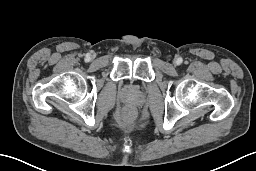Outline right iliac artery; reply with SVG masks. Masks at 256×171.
I'll return each instance as SVG.
<instances>
[{"label": "right iliac artery", "instance_id": "obj_1", "mask_svg": "<svg viewBox=\"0 0 256 171\" xmlns=\"http://www.w3.org/2000/svg\"><path fill=\"white\" fill-rule=\"evenodd\" d=\"M89 58H90V56L87 54V55H86V60H89Z\"/></svg>", "mask_w": 256, "mask_h": 171}]
</instances>
